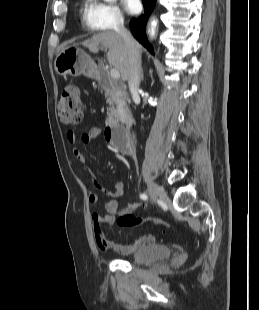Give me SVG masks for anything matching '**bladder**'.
I'll return each instance as SVG.
<instances>
[{"label": "bladder", "instance_id": "31cf9c89", "mask_svg": "<svg viewBox=\"0 0 259 310\" xmlns=\"http://www.w3.org/2000/svg\"><path fill=\"white\" fill-rule=\"evenodd\" d=\"M172 254L169 246L161 244H147L139 248L129 258L128 262L134 265H146L168 259Z\"/></svg>", "mask_w": 259, "mask_h": 310}]
</instances>
